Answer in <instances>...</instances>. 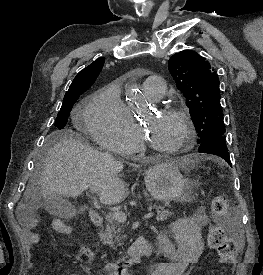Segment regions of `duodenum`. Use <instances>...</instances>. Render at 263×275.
<instances>
[{
	"mask_svg": "<svg viewBox=\"0 0 263 275\" xmlns=\"http://www.w3.org/2000/svg\"><path fill=\"white\" fill-rule=\"evenodd\" d=\"M89 215L94 225L100 226L103 223V218L98 212L91 210ZM150 254L151 248L147 240L145 237L139 236L128 250L114 261L113 267L121 272L126 271L128 267L141 262Z\"/></svg>",
	"mask_w": 263,
	"mask_h": 275,
	"instance_id": "duodenum-1",
	"label": "duodenum"
}]
</instances>
